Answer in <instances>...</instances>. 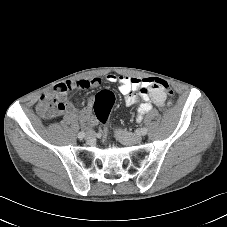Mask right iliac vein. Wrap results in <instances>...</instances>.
I'll return each mask as SVG.
<instances>
[{
  "label": "right iliac vein",
  "mask_w": 227,
  "mask_h": 227,
  "mask_svg": "<svg viewBox=\"0 0 227 227\" xmlns=\"http://www.w3.org/2000/svg\"><path fill=\"white\" fill-rule=\"evenodd\" d=\"M85 139H86L88 142H92L93 139H94V134H93L91 131H88V132L86 133Z\"/></svg>",
  "instance_id": "1"
}]
</instances>
